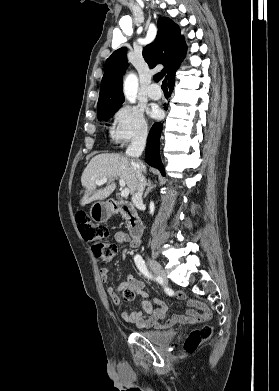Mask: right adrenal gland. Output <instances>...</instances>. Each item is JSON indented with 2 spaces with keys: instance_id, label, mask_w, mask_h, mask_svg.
Listing matches in <instances>:
<instances>
[{
  "instance_id": "2a0ac1e0",
  "label": "right adrenal gland",
  "mask_w": 279,
  "mask_h": 391,
  "mask_svg": "<svg viewBox=\"0 0 279 391\" xmlns=\"http://www.w3.org/2000/svg\"><path fill=\"white\" fill-rule=\"evenodd\" d=\"M155 187H156V185H152L151 180L148 179V181H147V189H146V192H145V194H144V198H146L147 195L149 194V192H150L153 188H155Z\"/></svg>"
}]
</instances>
